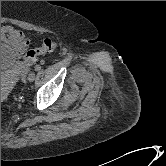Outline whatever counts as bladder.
<instances>
[{"label": "bladder", "instance_id": "bladder-1", "mask_svg": "<svg viewBox=\"0 0 166 166\" xmlns=\"http://www.w3.org/2000/svg\"><path fill=\"white\" fill-rule=\"evenodd\" d=\"M17 64V55L14 49L1 42V74L11 71Z\"/></svg>", "mask_w": 166, "mask_h": 166}]
</instances>
